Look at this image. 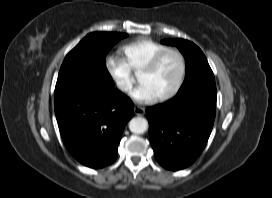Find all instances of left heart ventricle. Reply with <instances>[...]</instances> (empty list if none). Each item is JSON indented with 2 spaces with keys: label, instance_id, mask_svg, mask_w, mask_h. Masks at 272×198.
I'll list each match as a JSON object with an SVG mask.
<instances>
[{
  "label": "left heart ventricle",
  "instance_id": "left-heart-ventricle-1",
  "mask_svg": "<svg viewBox=\"0 0 272 198\" xmlns=\"http://www.w3.org/2000/svg\"><path fill=\"white\" fill-rule=\"evenodd\" d=\"M180 59L174 54L166 55L151 73L139 76V82L148 85L155 97L168 93L176 84L180 73Z\"/></svg>",
  "mask_w": 272,
  "mask_h": 198
}]
</instances>
